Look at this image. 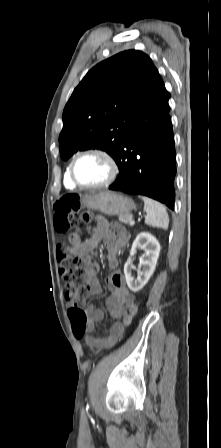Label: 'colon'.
<instances>
[{"label": "colon", "mask_w": 221, "mask_h": 448, "mask_svg": "<svg viewBox=\"0 0 221 448\" xmlns=\"http://www.w3.org/2000/svg\"><path fill=\"white\" fill-rule=\"evenodd\" d=\"M86 214L80 210V197L77 194H65L54 205V228L63 233L72 226H79L86 219ZM60 275L65 283V297L70 302L69 316L72 322L73 334L81 339L87 332V317L82 309L85 305L88 290L79 285L85 273V260L78 255H72L60 250L57 253Z\"/></svg>", "instance_id": "1"}]
</instances>
